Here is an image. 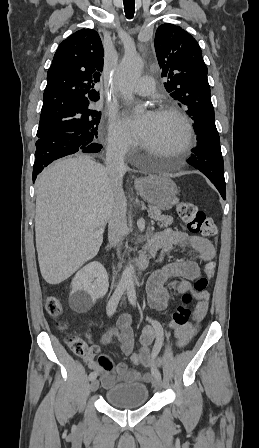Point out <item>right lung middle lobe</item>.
<instances>
[{"label": "right lung middle lobe", "mask_w": 259, "mask_h": 448, "mask_svg": "<svg viewBox=\"0 0 259 448\" xmlns=\"http://www.w3.org/2000/svg\"><path fill=\"white\" fill-rule=\"evenodd\" d=\"M100 117L101 112L92 109L91 106L41 114L37 137L58 132L74 133L85 138L87 143H92L97 139Z\"/></svg>", "instance_id": "obj_1"}]
</instances>
